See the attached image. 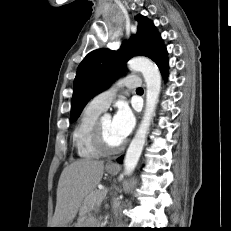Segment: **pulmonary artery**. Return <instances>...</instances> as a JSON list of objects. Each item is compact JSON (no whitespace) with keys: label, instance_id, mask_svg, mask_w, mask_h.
I'll return each mask as SVG.
<instances>
[{"label":"pulmonary artery","instance_id":"pulmonary-artery-1","mask_svg":"<svg viewBox=\"0 0 231 231\" xmlns=\"http://www.w3.org/2000/svg\"><path fill=\"white\" fill-rule=\"evenodd\" d=\"M140 85L141 79L135 74H129L124 79L119 80L115 85H113L109 89L103 91L102 93L94 97L91 100L90 105L100 111H104L109 107L120 87L135 89L140 87Z\"/></svg>","mask_w":231,"mask_h":231}]
</instances>
